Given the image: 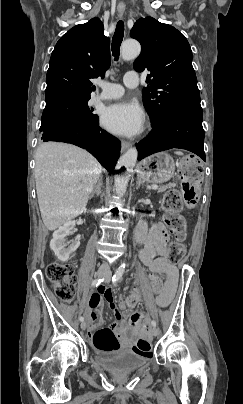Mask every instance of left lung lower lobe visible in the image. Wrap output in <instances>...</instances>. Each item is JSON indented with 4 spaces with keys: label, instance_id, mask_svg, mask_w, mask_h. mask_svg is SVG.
I'll return each instance as SVG.
<instances>
[{
    "label": "left lung lower lobe",
    "instance_id": "obj_1",
    "mask_svg": "<svg viewBox=\"0 0 243 404\" xmlns=\"http://www.w3.org/2000/svg\"><path fill=\"white\" fill-rule=\"evenodd\" d=\"M203 110L198 107H176L156 124L150 136L136 145L138 160L153 153L180 148L189 150L204 161Z\"/></svg>",
    "mask_w": 243,
    "mask_h": 404
}]
</instances>
